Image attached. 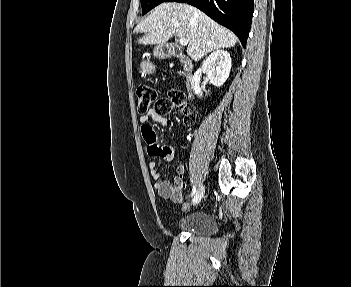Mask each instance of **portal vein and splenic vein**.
<instances>
[{
  "label": "portal vein and splenic vein",
  "mask_w": 351,
  "mask_h": 287,
  "mask_svg": "<svg viewBox=\"0 0 351 287\" xmlns=\"http://www.w3.org/2000/svg\"><path fill=\"white\" fill-rule=\"evenodd\" d=\"M179 43L181 46L188 45V40L186 38H180Z\"/></svg>",
  "instance_id": "18ae733b"
}]
</instances>
